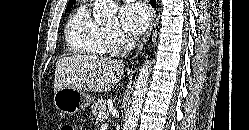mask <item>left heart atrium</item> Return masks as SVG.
<instances>
[{
	"label": "left heart atrium",
	"mask_w": 249,
	"mask_h": 130,
	"mask_svg": "<svg viewBox=\"0 0 249 130\" xmlns=\"http://www.w3.org/2000/svg\"><path fill=\"white\" fill-rule=\"evenodd\" d=\"M120 18L125 31L136 36L148 26L149 12L144 4L132 3L121 9Z\"/></svg>",
	"instance_id": "obj_1"
}]
</instances>
